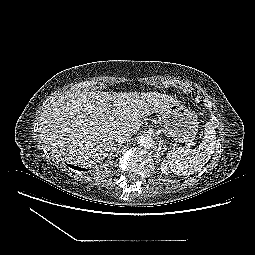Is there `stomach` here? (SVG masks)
I'll list each match as a JSON object with an SVG mask.
<instances>
[{"label":"stomach","instance_id":"obj_1","mask_svg":"<svg viewBox=\"0 0 255 255\" xmlns=\"http://www.w3.org/2000/svg\"><path fill=\"white\" fill-rule=\"evenodd\" d=\"M160 114L169 137L178 142L195 138L199 123L194 111L189 110L178 101H173Z\"/></svg>","mask_w":255,"mask_h":255}]
</instances>
